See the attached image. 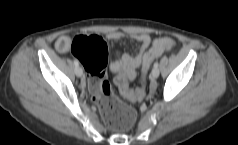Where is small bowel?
Here are the masks:
<instances>
[{"instance_id": "obj_1", "label": "small bowel", "mask_w": 238, "mask_h": 145, "mask_svg": "<svg viewBox=\"0 0 238 145\" xmlns=\"http://www.w3.org/2000/svg\"><path fill=\"white\" fill-rule=\"evenodd\" d=\"M73 37L64 35L58 38L55 44L57 51L65 53L72 50L70 42ZM107 37L110 40L123 41L126 35L119 31H113L110 32ZM129 37L141 42L142 46L139 53L136 56H131L129 54L122 55L121 58L111 63L110 68L113 72H124L128 79L133 80L137 76V68L143 63V56L150 45L151 38L148 34L144 33L130 34ZM160 39H167L169 41L165 46L164 51L170 50L175 45L174 41L170 38L164 37Z\"/></svg>"}]
</instances>
